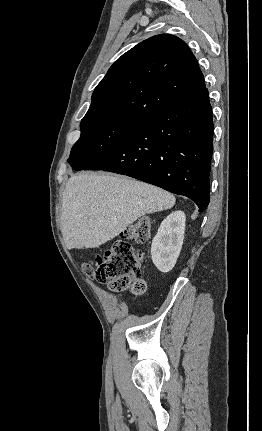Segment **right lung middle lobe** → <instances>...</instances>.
Returning a JSON list of instances; mask_svg holds the SVG:
<instances>
[{"mask_svg": "<svg viewBox=\"0 0 262 431\" xmlns=\"http://www.w3.org/2000/svg\"><path fill=\"white\" fill-rule=\"evenodd\" d=\"M140 121H108L81 124V136L74 144L68 163L76 171L98 160Z\"/></svg>", "mask_w": 262, "mask_h": 431, "instance_id": "obj_1", "label": "right lung middle lobe"}]
</instances>
